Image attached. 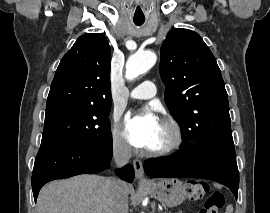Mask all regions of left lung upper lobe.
Listing matches in <instances>:
<instances>
[{
	"label": "left lung upper lobe",
	"mask_w": 270,
	"mask_h": 213,
	"mask_svg": "<svg viewBox=\"0 0 270 213\" xmlns=\"http://www.w3.org/2000/svg\"><path fill=\"white\" fill-rule=\"evenodd\" d=\"M160 75L183 141L209 148L234 145L224 81L199 34L177 28L168 33L161 46Z\"/></svg>",
	"instance_id": "1"
}]
</instances>
